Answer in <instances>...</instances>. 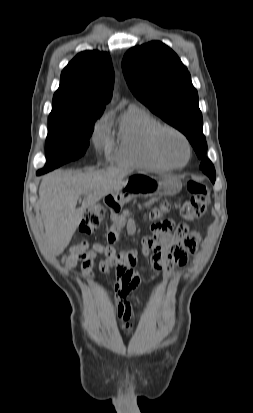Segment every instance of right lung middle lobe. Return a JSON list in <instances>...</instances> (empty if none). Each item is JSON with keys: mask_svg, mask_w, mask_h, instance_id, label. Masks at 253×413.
<instances>
[{"mask_svg": "<svg viewBox=\"0 0 253 413\" xmlns=\"http://www.w3.org/2000/svg\"><path fill=\"white\" fill-rule=\"evenodd\" d=\"M98 116H62L48 118L46 164L42 173L83 156Z\"/></svg>", "mask_w": 253, "mask_h": 413, "instance_id": "1", "label": "right lung middle lobe"}]
</instances>
